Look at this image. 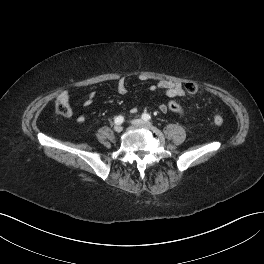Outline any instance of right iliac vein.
I'll return each mask as SVG.
<instances>
[{
    "mask_svg": "<svg viewBox=\"0 0 264 264\" xmlns=\"http://www.w3.org/2000/svg\"><path fill=\"white\" fill-rule=\"evenodd\" d=\"M114 130H115L116 132L120 133V132L123 130V128H122V126L117 125V126L114 127Z\"/></svg>",
    "mask_w": 264,
    "mask_h": 264,
    "instance_id": "right-iliac-vein-1",
    "label": "right iliac vein"
}]
</instances>
